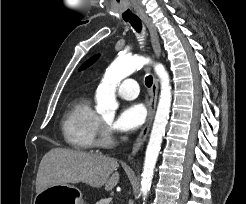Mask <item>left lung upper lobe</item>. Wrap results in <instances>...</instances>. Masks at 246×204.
<instances>
[{
	"mask_svg": "<svg viewBox=\"0 0 246 204\" xmlns=\"http://www.w3.org/2000/svg\"><path fill=\"white\" fill-rule=\"evenodd\" d=\"M99 55H95L93 57H91L89 60H87L81 67L79 70H83L87 67H89L91 64H93L97 59H98Z\"/></svg>",
	"mask_w": 246,
	"mask_h": 204,
	"instance_id": "left-lung-upper-lobe-1",
	"label": "left lung upper lobe"
}]
</instances>
